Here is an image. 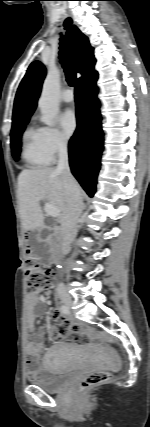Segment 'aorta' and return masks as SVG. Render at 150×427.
I'll return each instance as SVG.
<instances>
[{
	"label": "aorta",
	"instance_id": "1",
	"mask_svg": "<svg viewBox=\"0 0 150 427\" xmlns=\"http://www.w3.org/2000/svg\"><path fill=\"white\" fill-rule=\"evenodd\" d=\"M60 73L57 68H50L43 83L38 102L41 110V121L52 126L59 112Z\"/></svg>",
	"mask_w": 150,
	"mask_h": 427
}]
</instances>
